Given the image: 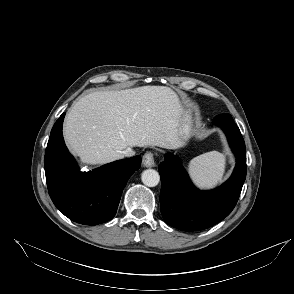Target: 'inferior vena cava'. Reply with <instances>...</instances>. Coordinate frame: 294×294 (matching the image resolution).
<instances>
[{
  "mask_svg": "<svg viewBox=\"0 0 294 294\" xmlns=\"http://www.w3.org/2000/svg\"><path fill=\"white\" fill-rule=\"evenodd\" d=\"M121 154L125 157H132L135 155V152L132 148L128 147L125 150L121 151Z\"/></svg>",
  "mask_w": 294,
  "mask_h": 294,
  "instance_id": "602c4592",
  "label": "inferior vena cava"
}]
</instances>
